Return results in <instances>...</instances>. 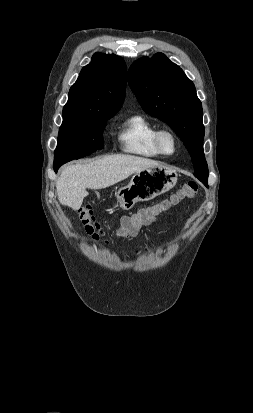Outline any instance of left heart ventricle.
<instances>
[{
	"mask_svg": "<svg viewBox=\"0 0 253 413\" xmlns=\"http://www.w3.org/2000/svg\"><path fill=\"white\" fill-rule=\"evenodd\" d=\"M163 147L166 152H171L173 150V141L168 135L163 137Z\"/></svg>",
	"mask_w": 253,
	"mask_h": 413,
	"instance_id": "b2bd125f",
	"label": "left heart ventricle"
}]
</instances>
